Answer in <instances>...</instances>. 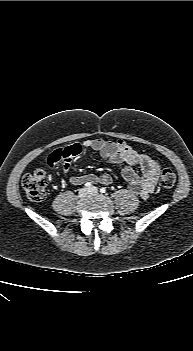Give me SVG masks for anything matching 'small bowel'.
<instances>
[{"label": "small bowel", "instance_id": "1", "mask_svg": "<svg viewBox=\"0 0 193 351\" xmlns=\"http://www.w3.org/2000/svg\"><path fill=\"white\" fill-rule=\"evenodd\" d=\"M92 149L99 155L120 167L123 178L128 183V191L142 197L149 196L157 183L160 165L146 154L133 150L125 141H106L100 138L87 139L79 142L68 143L65 146L54 149L45 157L44 167L53 171L57 165L62 163V169L67 171L71 162L83 151ZM125 164L124 166H121ZM140 170V173L135 171ZM113 179L110 174L104 173L100 176L87 174L72 176L69 183L79 186L84 183H100L110 185Z\"/></svg>", "mask_w": 193, "mask_h": 351}]
</instances>
